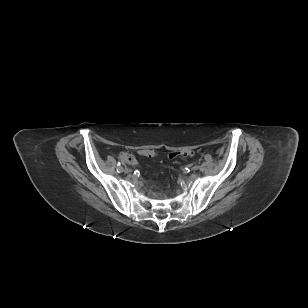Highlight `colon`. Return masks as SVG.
<instances>
[{
	"instance_id": "colon-1",
	"label": "colon",
	"mask_w": 308,
	"mask_h": 308,
	"mask_svg": "<svg viewBox=\"0 0 308 308\" xmlns=\"http://www.w3.org/2000/svg\"><path fill=\"white\" fill-rule=\"evenodd\" d=\"M141 154L147 157H153L155 155V152L150 149H144L141 151ZM179 155L183 156H190L192 155L191 151H184V152H173L170 153L169 157L170 158H176ZM120 159L125 162V163H132L133 162V157L129 153H121L120 154Z\"/></svg>"
}]
</instances>
